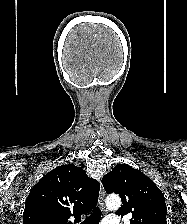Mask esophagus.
Returning <instances> with one entry per match:
<instances>
[{
  "mask_svg": "<svg viewBox=\"0 0 187 224\" xmlns=\"http://www.w3.org/2000/svg\"><path fill=\"white\" fill-rule=\"evenodd\" d=\"M98 203L101 209H105V190L103 188L102 183H100V191H99V198H98Z\"/></svg>",
  "mask_w": 187,
  "mask_h": 224,
  "instance_id": "obj_1",
  "label": "esophagus"
}]
</instances>
